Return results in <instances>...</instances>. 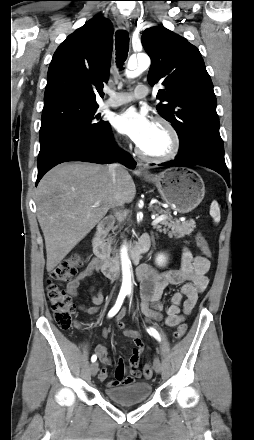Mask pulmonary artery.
<instances>
[{"label": "pulmonary artery", "mask_w": 254, "mask_h": 440, "mask_svg": "<svg viewBox=\"0 0 254 440\" xmlns=\"http://www.w3.org/2000/svg\"><path fill=\"white\" fill-rule=\"evenodd\" d=\"M149 89L146 85H138L133 92H120L112 95L102 104L103 108L117 107L127 104L134 99L144 98L148 95Z\"/></svg>", "instance_id": "pulmonary-artery-1"}]
</instances>
